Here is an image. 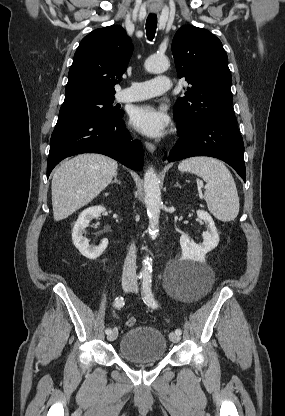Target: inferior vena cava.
Instances as JSON below:
<instances>
[{"instance_id":"inferior-vena-cava-1","label":"inferior vena cava","mask_w":285,"mask_h":416,"mask_svg":"<svg viewBox=\"0 0 285 416\" xmlns=\"http://www.w3.org/2000/svg\"><path fill=\"white\" fill-rule=\"evenodd\" d=\"M125 276H136V248L134 244L130 246V250L125 258L124 270Z\"/></svg>"}]
</instances>
